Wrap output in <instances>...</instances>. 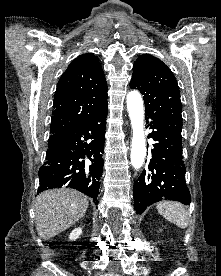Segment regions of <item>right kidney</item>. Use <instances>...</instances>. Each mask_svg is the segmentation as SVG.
Masks as SVG:
<instances>
[{
  "label": "right kidney",
  "instance_id": "right-kidney-1",
  "mask_svg": "<svg viewBox=\"0 0 221 276\" xmlns=\"http://www.w3.org/2000/svg\"><path fill=\"white\" fill-rule=\"evenodd\" d=\"M82 233V229L80 227L78 228H75L69 235V239L70 240H76L79 238V236L81 235Z\"/></svg>",
  "mask_w": 221,
  "mask_h": 276
}]
</instances>
